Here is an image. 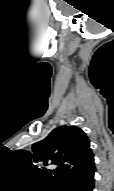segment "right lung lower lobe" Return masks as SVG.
Segmentation results:
<instances>
[{
  "label": "right lung lower lobe",
  "mask_w": 114,
  "mask_h": 191,
  "mask_svg": "<svg viewBox=\"0 0 114 191\" xmlns=\"http://www.w3.org/2000/svg\"><path fill=\"white\" fill-rule=\"evenodd\" d=\"M95 169L79 176H75L58 186V191H93Z\"/></svg>",
  "instance_id": "obj_1"
}]
</instances>
